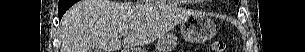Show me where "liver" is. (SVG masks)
Returning a JSON list of instances; mask_svg holds the SVG:
<instances>
[{"label": "liver", "mask_w": 305, "mask_h": 52, "mask_svg": "<svg viewBox=\"0 0 305 52\" xmlns=\"http://www.w3.org/2000/svg\"><path fill=\"white\" fill-rule=\"evenodd\" d=\"M193 13L165 4L81 0L61 21V52H115L161 38ZM123 38V40H121Z\"/></svg>", "instance_id": "obj_1"}]
</instances>
